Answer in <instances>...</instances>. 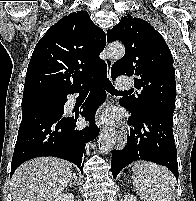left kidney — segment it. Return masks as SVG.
<instances>
[{
    "label": "left kidney",
    "mask_w": 196,
    "mask_h": 201,
    "mask_svg": "<svg viewBox=\"0 0 196 201\" xmlns=\"http://www.w3.org/2000/svg\"><path fill=\"white\" fill-rule=\"evenodd\" d=\"M123 201H137L136 197L134 195H125L124 200Z\"/></svg>",
    "instance_id": "obj_1"
}]
</instances>
